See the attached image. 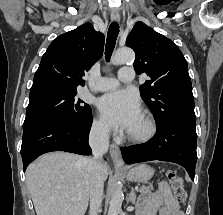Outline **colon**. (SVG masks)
Masks as SVG:
<instances>
[{"label": "colon", "instance_id": "5ec220e1", "mask_svg": "<svg viewBox=\"0 0 223 215\" xmlns=\"http://www.w3.org/2000/svg\"><path fill=\"white\" fill-rule=\"evenodd\" d=\"M166 177L171 183L176 202L183 204L186 200L187 194L183 186V179L177 174L175 170H168Z\"/></svg>", "mask_w": 223, "mask_h": 215}]
</instances>
